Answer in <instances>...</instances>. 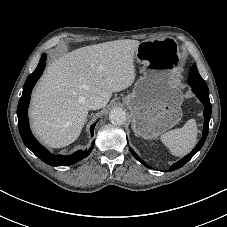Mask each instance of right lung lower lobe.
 <instances>
[{
  "label": "right lung lower lobe",
  "instance_id": "obj_1",
  "mask_svg": "<svg viewBox=\"0 0 227 227\" xmlns=\"http://www.w3.org/2000/svg\"><path fill=\"white\" fill-rule=\"evenodd\" d=\"M45 61H46V55L43 54L37 68L32 74L29 75V77L27 78L24 84L23 93L19 100L18 108H17L19 131H20L21 138L24 144L26 145V147H28L43 162L52 166H69L87 157L94 146V142L89 150H85V151L79 150L69 156L52 155L47 149H45L42 145L39 144V142L32 135L31 130L29 128L27 110L29 106L31 91L45 68ZM94 127H95V124L91 127L92 136L94 132Z\"/></svg>",
  "mask_w": 227,
  "mask_h": 227
}]
</instances>
